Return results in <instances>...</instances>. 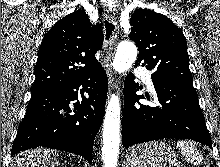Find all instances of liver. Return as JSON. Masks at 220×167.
Here are the masks:
<instances>
[{
  "instance_id": "6515ba94",
  "label": "liver",
  "mask_w": 220,
  "mask_h": 167,
  "mask_svg": "<svg viewBox=\"0 0 220 167\" xmlns=\"http://www.w3.org/2000/svg\"><path fill=\"white\" fill-rule=\"evenodd\" d=\"M58 152L46 148L26 150L16 155L12 167H55L58 164Z\"/></svg>"
}]
</instances>
